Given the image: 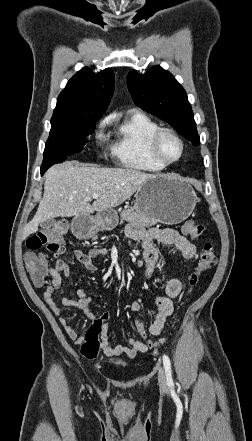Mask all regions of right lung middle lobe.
<instances>
[{
  "label": "right lung middle lobe",
  "instance_id": "dd1d6c3e",
  "mask_svg": "<svg viewBox=\"0 0 252 441\" xmlns=\"http://www.w3.org/2000/svg\"><path fill=\"white\" fill-rule=\"evenodd\" d=\"M99 119L71 115H53L51 131L44 150L41 168L47 170L68 155L80 152L95 130Z\"/></svg>",
  "mask_w": 252,
  "mask_h": 441
}]
</instances>
